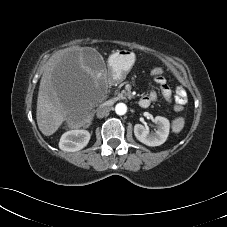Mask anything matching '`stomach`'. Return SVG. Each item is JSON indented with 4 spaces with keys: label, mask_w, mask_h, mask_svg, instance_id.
I'll list each match as a JSON object with an SVG mask.
<instances>
[{
    "label": "stomach",
    "mask_w": 227,
    "mask_h": 227,
    "mask_svg": "<svg viewBox=\"0 0 227 227\" xmlns=\"http://www.w3.org/2000/svg\"><path fill=\"white\" fill-rule=\"evenodd\" d=\"M135 61V54L128 50H117L108 61L109 69L115 76V81H122Z\"/></svg>",
    "instance_id": "1"
}]
</instances>
